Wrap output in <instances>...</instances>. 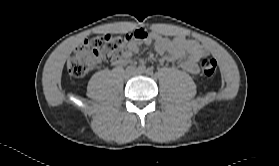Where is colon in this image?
<instances>
[{"label": "colon", "mask_w": 279, "mask_h": 166, "mask_svg": "<svg viewBox=\"0 0 279 166\" xmlns=\"http://www.w3.org/2000/svg\"><path fill=\"white\" fill-rule=\"evenodd\" d=\"M144 34L140 31L124 35L103 34L85 40L73 53L69 61V72L74 77H84L101 65L102 62L120 60L128 46ZM201 72L212 77L217 71V62L210 57L199 61Z\"/></svg>", "instance_id": "1"}]
</instances>
